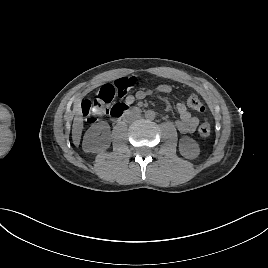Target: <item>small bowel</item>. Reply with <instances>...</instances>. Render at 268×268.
<instances>
[{
  "instance_id": "1",
  "label": "small bowel",
  "mask_w": 268,
  "mask_h": 268,
  "mask_svg": "<svg viewBox=\"0 0 268 268\" xmlns=\"http://www.w3.org/2000/svg\"><path fill=\"white\" fill-rule=\"evenodd\" d=\"M172 91V87L168 84H159L150 89H139L135 94L125 97V103L131 105L135 100H143L155 93L167 94ZM179 119L175 122L176 128L183 134L192 133L199 124V119L194 116L184 103H177L175 106Z\"/></svg>"
}]
</instances>
